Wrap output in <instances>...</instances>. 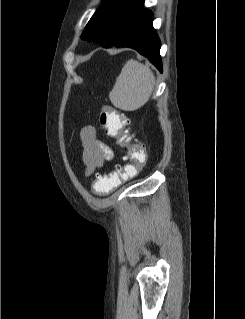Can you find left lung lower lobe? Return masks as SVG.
I'll use <instances>...</instances> for the list:
<instances>
[{
	"label": "left lung lower lobe",
	"mask_w": 245,
	"mask_h": 319,
	"mask_svg": "<svg viewBox=\"0 0 245 319\" xmlns=\"http://www.w3.org/2000/svg\"><path fill=\"white\" fill-rule=\"evenodd\" d=\"M152 22V12L142 7L129 19L112 45L105 48L113 45L133 48L146 56L162 72L159 55L161 44Z\"/></svg>",
	"instance_id": "0a47b994"
}]
</instances>
